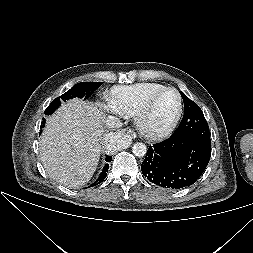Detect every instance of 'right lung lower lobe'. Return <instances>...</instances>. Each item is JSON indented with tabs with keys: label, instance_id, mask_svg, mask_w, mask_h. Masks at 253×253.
<instances>
[{
	"label": "right lung lower lobe",
	"instance_id": "obj_1",
	"mask_svg": "<svg viewBox=\"0 0 253 253\" xmlns=\"http://www.w3.org/2000/svg\"><path fill=\"white\" fill-rule=\"evenodd\" d=\"M111 160H112L111 156H106V162H111ZM108 169H109V165L106 164L104 166L103 171L101 172L100 176L98 177V179L91 186H96V185L100 184L101 182H103L107 176Z\"/></svg>",
	"mask_w": 253,
	"mask_h": 253
}]
</instances>
